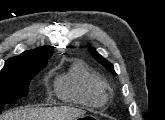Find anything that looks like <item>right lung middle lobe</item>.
I'll use <instances>...</instances> for the list:
<instances>
[{"label": "right lung middle lobe", "instance_id": "1", "mask_svg": "<svg viewBox=\"0 0 165 120\" xmlns=\"http://www.w3.org/2000/svg\"><path fill=\"white\" fill-rule=\"evenodd\" d=\"M46 64V62H33L3 67L0 73V112L5 104L27 96L30 80Z\"/></svg>", "mask_w": 165, "mask_h": 120}]
</instances>
